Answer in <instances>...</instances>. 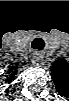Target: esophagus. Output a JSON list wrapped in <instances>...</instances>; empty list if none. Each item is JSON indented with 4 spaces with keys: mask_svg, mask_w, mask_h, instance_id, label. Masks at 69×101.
Instances as JSON below:
<instances>
[{
    "mask_svg": "<svg viewBox=\"0 0 69 101\" xmlns=\"http://www.w3.org/2000/svg\"><path fill=\"white\" fill-rule=\"evenodd\" d=\"M32 63L35 66H42L44 61H43V56L40 52H35L34 56L32 58Z\"/></svg>",
    "mask_w": 69,
    "mask_h": 101,
    "instance_id": "esophagus-1",
    "label": "esophagus"
}]
</instances>
